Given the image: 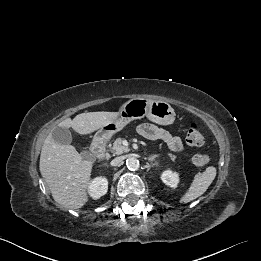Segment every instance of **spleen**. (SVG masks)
Masks as SVG:
<instances>
[{"label":"spleen","instance_id":"1","mask_svg":"<svg viewBox=\"0 0 261 261\" xmlns=\"http://www.w3.org/2000/svg\"><path fill=\"white\" fill-rule=\"evenodd\" d=\"M216 171L215 167L210 166L204 172L195 175L190 188L180 199V203H188L201 196L215 179Z\"/></svg>","mask_w":261,"mask_h":261}]
</instances>
